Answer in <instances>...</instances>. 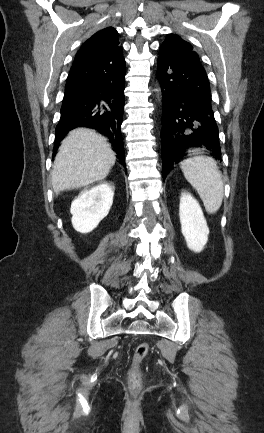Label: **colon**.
<instances>
[{"label":"colon","instance_id":"5ec220e1","mask_svg":"<svg viewBox=\"0 0 264 433\" xmlns=\"http://www.w3.org/2000/svg\"><path fill=\"white\" fill-rule=\"evenodd\" d=\"M149 353V345L146 342L140 343L134 350L131 367L129 369V382L133 387H138L141 384V363Z\"/></svg>","mask_w":264,"mask_h":433}]
</instances>
